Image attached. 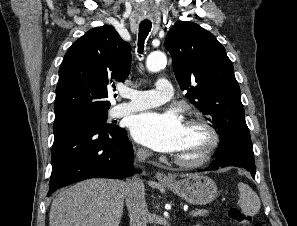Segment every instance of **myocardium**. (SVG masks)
<instances>
[{"mask_svg": "<svg viewBox=\"0 0 297 226\" xmlns=\"http://www.w3.org/2000/svg\"><path fill=\"white\" fill-rule=\"evenodd\" d=\"M185 125L199 126L207 135V142L202 151L193 158H185L179 155H174L176 164L182 167L194 168L207 163L214 155L220 143V136L216 128L206 118L201 116H194L186 120Z\"/></svg>", "mask_w": 297, "mask_h": 226, "instance_id": "f54148a6", "label": "myocardium"}]
</instances>
